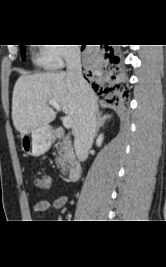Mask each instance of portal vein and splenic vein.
Listing matches in <instances>:
<instances>
[{
  "label": "portal vein and splenic vein",
  "mask_w": 166,
  "mask_h": 267,
  "mask_svg": "<svg viewBox=\"0 0 166 267\" xmlns=\"http://www.w3.org/2000/svg\"><path fill=\"white\" fill-rule=\"evenodd\" d=\"M49 105H51L52 107H54L57 111H61V106L55 102V101H49L48 102ZM63 122V126L65 128H71L72 127V118L70 116H65L62 120Z\"/></svg>",
  "instance_id": "1"
}]
</instances>
